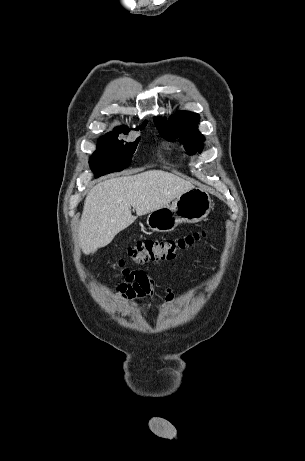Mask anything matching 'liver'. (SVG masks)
I'll use <instances>...</instances> for the list:
<instances>
[{
    "label": "liver",
    "instance_id": "liver-1",
    "mask_svg": "<svg viewBox=\"0 0 305 461\" xmlns=\"http://www.w3.org/2000/svg\"><path fill=\"white\" fill-rule=\"evenodd\" d=\"M194 186L169 172L149 170L132 176L112 178L94 186L87 194L78 229L84 254L107 246L136 216L168 205Z\"/></svg>",
    "mask_w": 305,
    "mask_h": 461
}]
</instances>
